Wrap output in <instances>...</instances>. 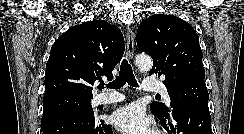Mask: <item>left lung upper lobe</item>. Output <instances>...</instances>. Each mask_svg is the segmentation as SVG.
<instances>
[{"instance_id":"5c2ea615","label":"left lung upper lobe","mask_w":244,"mask_h":134,"mask_svg":"<svg viewBox=\"0 0 244 134\" xmlns=\"http://www.w3.org/2000/svg\"><path fill=\"white\" fill-rule=\"evenodd\" d=\"M137 46L153 59L149 75H164L170 106H194L208 110V91L199 37L186 21L173 16L155 14L141 22L137 30ZM151 111L168 115L162 103H152Z\"/></svg>"}]
</instances>
